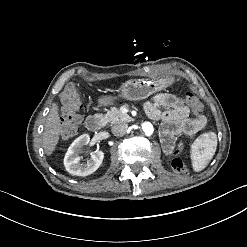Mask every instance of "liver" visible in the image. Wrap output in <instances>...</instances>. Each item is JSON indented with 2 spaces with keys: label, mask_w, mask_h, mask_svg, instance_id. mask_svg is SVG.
Wrapping results in <instances>:
<instances>
[{
  "label": "liver",
  "mask_w": 247,
  "mask_h": 247,
  "mask_svg": "<svg viewBox=\"0 0 247 247\" xmlns=\"http://www.w3.org/2000/svg\"><path fill=\"white\" fill-rule=\"evenodd\" d=\"M61 126L58 106L53 103L48 114L43 133V148L46 155H51L55 150L59 140Z\"/></svg>",
  "instance_id": "1"
}]
</instances>
